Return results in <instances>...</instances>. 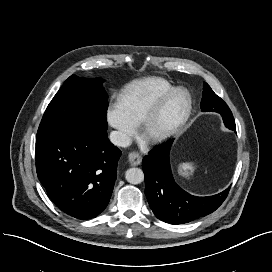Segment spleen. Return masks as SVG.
Wrapping results in <instances>:
<instances>
[{"mask_svg":"<svg viewBox=\"0 0 272 272\" xmlns=\"http://www.w3.org/2000/svg\"><path fill=\"white\" fill-rule=\"evenodd\" d=\"M195 170V165L193 162L180 163L178 165V173L182 176L188 177Z\"/></svg>","mask_w":272,"mask_h":272,"instance_id":"1","label":"spleen"}]
</instances>
